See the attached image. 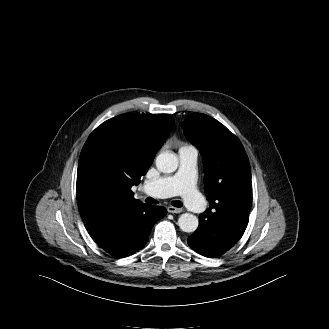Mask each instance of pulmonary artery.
<instances>
[{
	"label": "pulmonary artery",
	"mask_w": 329,
	"mask_h": 329,
	"mask_svg": "<svg viewBox=\"0 0 329 329\" xmlns=\"http://www.w3.org/2000/svg\"><path fill=\"white\" fill-rule=\"evenodd\" d=\"M178 154V171L173 175L146 182L143 191L153 197L180 195L185 206L192 212H203L206 203L196 189L198 149L193 145L183 146Z\"/></svg>",
	"instance_id": "e3ab8cb5"
}]
</instances>
